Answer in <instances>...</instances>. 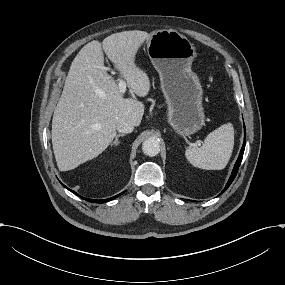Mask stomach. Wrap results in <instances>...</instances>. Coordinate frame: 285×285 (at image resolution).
Here are the masks:
<instances>
[{
  "instance_id": "0dacf381",
  "label": "stomach",
  "mask_w": 285,
  "mask_h": 285,
  "mask_svg": "<svg viewBox=\"0 0 285 285\" xmlns=\"http://www.w3.org/2000/svg\"><path fill=\"white\" fill-rule=\"evenodd\" d=\"M146 51L160 76L169 124L180 135L197 132L204 125L205 115L202 86L191 69L196 56L194 45L178 31L162 29L151 33Z\"/></svg>"
}]
</instances>
